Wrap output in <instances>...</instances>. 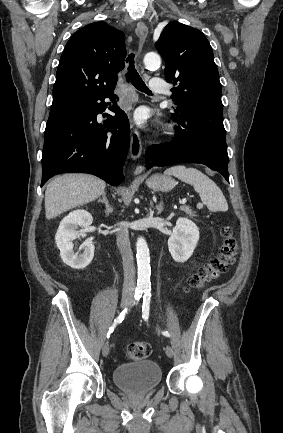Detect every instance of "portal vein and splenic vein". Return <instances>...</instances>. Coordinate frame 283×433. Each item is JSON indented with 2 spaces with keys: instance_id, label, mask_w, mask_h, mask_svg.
Masks as SVG:
<instances>
[{
  "instance_id": "1",
  "label": "portal vein and splenic vein",
  "mask_w": 283,
  "mask_h": 433,
  "mask_svg": "<svg viewBox=\"0 0 283 433\" xmlns=\"http://www.w3.org/2000/svg\"><path fill=\"white\" fill-rule=\"evenodd\" d=\"M182 202H186V198H183Z\"/></svg>"
}]
</instances>
